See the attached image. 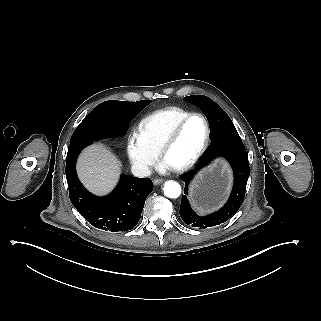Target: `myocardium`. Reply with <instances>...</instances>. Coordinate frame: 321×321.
Instances as JSON below:
<instances>
[{"label": "myocardium", "mask_w": 321, "mask_h": 321, "mask_svg": "<svg viewBox=\"0 0 321 321\" xmlns=\"http://www.w3.org/2000/svg\"><path fill=\"white\" fill-rule=\"evenodd\" d=\"M194 117H199L203 120L204 126H205V136H204L203 142H202L198 152L196 153V155L187 164H185L181 167L174 168L176 171L181 172V173L189 172L192 169H194L199 164L201 159L204 157V155L208 149L209 142H210L211 130H210V124H209L207 118L204 115H202L201 113H190L189 115L181 118L172 126V128L170 129V131L166 135V137L163 140L162 145L160 147V155L163 159H165L168 150L171 148V146L176 141L177 136H178L181 128L183 127V125L187 121H189L190 119H192Z\"/></svg>", "instance_id": "myocardium-1"}]
</instances>
